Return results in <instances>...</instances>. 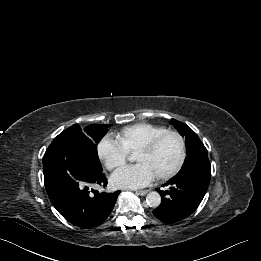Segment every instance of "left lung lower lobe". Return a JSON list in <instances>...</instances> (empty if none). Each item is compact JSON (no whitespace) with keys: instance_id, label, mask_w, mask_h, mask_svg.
Here are the masks:
<instances>
[{"instance_id":"obj_1","label":"left lung lower lobe","mask_w":261,"mask_h":261,"mask_svg":"<svg viewBox=\"0 0 261 261\" xmlns=\"http://www.w3.org/2000/svg\"><path fill=\"white\" fill-rule=\"evenodd\" d=\"M210 178L211 166L208 157L198 161L190 169L178 173L165 184L170 186L168 191L156 189L162 195V202L153 214L168 224L185 219L199 206L208 189Z\"/></svg>"}]
</instances>
